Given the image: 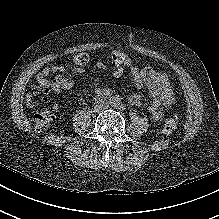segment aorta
Returning <instances> with one entry per match:
<instances>
[{"label": "aorta", "instance_id": "obj_1", "mask_svg": "<svg viewBox=\"0 0 219 219\" xmlns=\"http://www.w3.org/2000/svg\"><path fill=\"white\" fill-rule=\"evenodd\" d=\"M109 104L112 107L119 108L121 106V98H120V96L119 95L111 96L109 98Z\"/></svg>", "mask_w": 219, "mask_h": 219}]
</instances>
